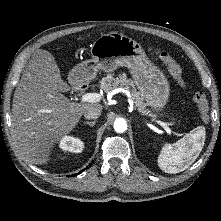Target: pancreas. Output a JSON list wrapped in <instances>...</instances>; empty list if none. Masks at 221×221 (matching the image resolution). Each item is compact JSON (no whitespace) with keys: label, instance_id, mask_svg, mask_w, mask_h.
<instances>
[{"label":"pancreas","instance_id":"1","mask_svg":"<svg viewBox=\"0 0 221 221\" xmlns=\"http://www.w3.org/2000/svg\"><path fill=\"white\" fill-rule=\"evenodd\" d=\"M100 87L105 92H110L117 87H121L128 91H131V99L135 107H137L139 111L146 112V106L143 102V97L140 95L139 92L135 90L134 82L132 80H129L126 74L119 75V77H114V74H108L100 81Z\"/></svg>","mask_w":221,"mask_h":221}]
</instances>
